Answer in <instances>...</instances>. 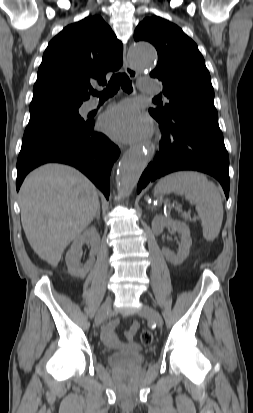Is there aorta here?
<instances>
[{
  "label": "aorta",
  "instance_id": "762f6f07",
  "mask_svg": "<svg viewBox=\"0 0 253 413\" xmlns=\"http://www.w3.org/2000/svg\"><path fill=\"white\" fill-rule=\"evenodd\" d=\"M129 57L135 69L145 71L154 67L157 53L150 43L138 41L131 45ZM147 163L148 153L144 145L131 148L122 157L117 175V188L121 195L131 194Z\"/></svg>",
  "mask_w": 253,
  "mask_h": 413
}]
</instances>
